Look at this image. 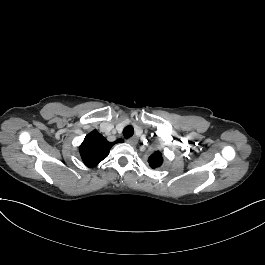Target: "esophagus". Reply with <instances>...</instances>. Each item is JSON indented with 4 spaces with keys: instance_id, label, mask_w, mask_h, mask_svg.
Masks as SVG:
<instances>
[{
    "instance_id": "obj_1",
    "label": "esophagus",
    "mask_w": 265,
    "mask_h": 265,
    "mask_svg": "<svg viewBox=\"0 0 265 265\" xmlns=\"http://www.w3.org/2000/svg\"><path fill=\"white\" fill-rule=\"evenodd\" d=\"M127 142L132 145V146H136L138 143V138L133 136L127 139Z\"/></svg>"
}]
</instances>
